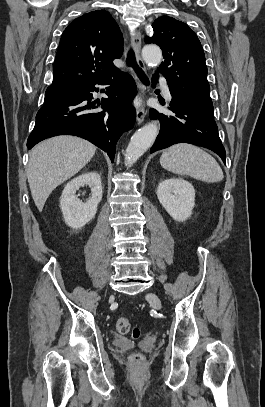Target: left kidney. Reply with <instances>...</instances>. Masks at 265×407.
<instances>
[{"instance_id": "1", "label": "left kidney", "mask_w": 265, "mask_h": 407, "mask_svg": "<svg viewBox=\"0 0 265 407\" xmlns=\"http://www.w3.org/2000/svg\"><path fill=\"white\" fill-rule=\"evenodd\" d=\"M157 197L160 204L176 221L187 220L195 206V189L181 178H170L159 183Z\"/></svg>"}]
</instances>
